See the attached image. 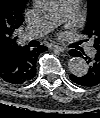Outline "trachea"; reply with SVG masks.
I'll list each match as a JSON object with an SVG mask.
<instances>
[{
    "mask_svg": "<svg viewBox=\"0 0 100 118\" xmlns=\"http://www.w3.org/2000/svg\"><path fill=\"white\" fill-rule=\"evenodd\" d=\"M38 44H39V42L36 41V40H32V41H30V43H29L30 47H36V46H38Z\"/></svg>",
    "mask_w": 100,
    "mask_h": 118,
    "instance_id": "obj_1",
    "label": "trachea"
}]
</instances>
